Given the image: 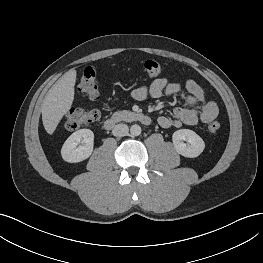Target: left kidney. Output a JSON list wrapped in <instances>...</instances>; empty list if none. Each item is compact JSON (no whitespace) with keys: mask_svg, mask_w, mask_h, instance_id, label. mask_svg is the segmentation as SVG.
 <instances>
[{"mask_svg":"<svg viewBox=\"0 0 263 263\" xmlns=\"http://www.w3.org/2000/svg\"><path fill=\"white\" fill-rule=\"evenodd\" d=\"M187 141V144L183 142ZM172 141L175 150L182 156L188 158L198 157L205 148L203 139L194 131L180 129L173 133Z\"/></svg>","mask_w":263,"mask_h":263,"instance_id":"5707ae66","label":"left kidney"}]
</instances>
